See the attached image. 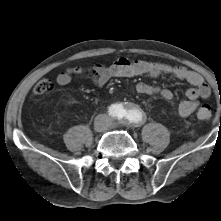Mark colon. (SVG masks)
Here are the masks:
<instances>
[{"instance_id": "obj_1", "label": "colon", "mask_w": 221, "mask_h": 221, "mask_svg": "<svg viewBox=\"0 0 221 221\" xmlns=\"http://www.w3.org/2000/svg\"><path fill=\"white\" fill-rule=\"evenodd\" d=\"M54 87V83L49 78L41 79L33 89L36 96H41L49 93ZM197 118L200 121L208 122L212 118V110L208 105H202L197 109Z\"/></svg>"}]
</instances>
